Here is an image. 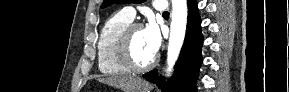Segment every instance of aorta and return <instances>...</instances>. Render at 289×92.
<instances>
[{"label": "aorta", "mask_w": 289, "mask_h": 92, "mask_svg": "<svg viewBox=\"0 0 289 92\" xmlns=\"http://www.w3.org/2000/svg\"><path fill=\"white\" fill-rule=\"evenodd\" d=\"M187 1L172 0V20L167 50V72L170 73L182 48L187 25Z\"/></svg>", "instance_id": "obj_1"}]
</instances>
